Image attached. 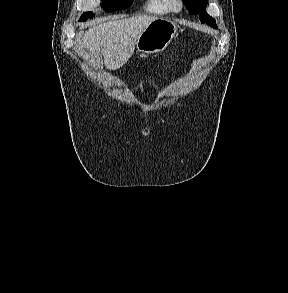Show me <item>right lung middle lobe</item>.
Here are the masks:
<instances>
[{
    "label": "right lung middle lobe",
    "instance_id": "1",
    "mask_svg": "<svg viewBox=\"0 0 288 293\" xmlns=\"http://www.w3.org/2000/svg\"><path fill=\"white\" fill-rule=\"evenodd\" d=\"M101 6L107 12H112L120 9H125L131 6L133 0H102ZM94 15L91 12H86L81 16L80 21H86L89 17L92 18Z\"/></svg>",
    "mask_w": 288,
    "mask_h": 293
}]
</instances>
